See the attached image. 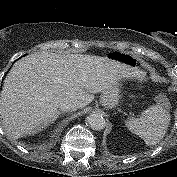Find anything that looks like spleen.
<instances>
[{
  "mask_svg": "<svg viewBox=\"0 0 177 177\" xmlns=\"http://www.w3.org/2000/svg\"><path fill=\"white\" fill-rule=\"evenodd\" d=\"M170 103L164 95L156 97V104L152 105L139 118L126 121L127 128L144 140L147 145L159 143L167 132L171 116Z\"/></svg>",
  "mask_w": 177,
  "mask_h": 177,
  "instance_id": "spleen-1",
  "label": "spleen"
}]
</instances>
